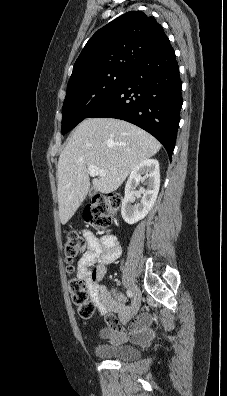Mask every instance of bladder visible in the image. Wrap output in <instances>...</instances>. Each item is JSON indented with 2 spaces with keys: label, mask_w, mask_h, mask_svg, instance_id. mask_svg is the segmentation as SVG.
I'll return each mask as SVG.
<instances>
[{
  "label": "bladder",
  "mask_w": 227,
  "mask_h": 396,
  "mask_svg": "<svg viewBox=\"0 0 227 396\" xmlns=\"http://www.w3.org/2000/svg\"><path fill=\"white\" fill-rule=\"evenodd\" d=\"M94 354L102 359L131 361L138 358L139 351L129 345L98 344L94 347Z\"/></svg>",
  "instance_id": "obj_1"
}]
</instances>
